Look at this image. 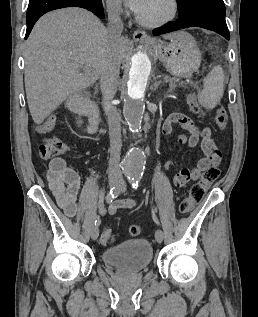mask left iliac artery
Returning <instances> with one entry per match:
<instances>
[{"label":"left iliac artery","instance_id":"left-iliac-artery-1","mask_svg":"<svg viewBox=\"0 0 258 317\" xmlns=\"http://www.w3.org/2000/svg\"><path fill=\"white\" fill-rule=\"evenodd\" d=\"M140 180H141V177H131L129 179V182L134 190H137L139 183H140ZM152 218H153V221L155 222V224L160 226V221H159L158 217L156 216V208H154V207L152 208Z\"/></svg>","mask_w":258,"mask_h":317}]
</instances>
